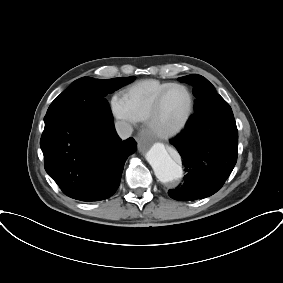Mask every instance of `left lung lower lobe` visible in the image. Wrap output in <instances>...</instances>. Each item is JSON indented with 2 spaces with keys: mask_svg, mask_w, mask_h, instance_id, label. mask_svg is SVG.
<instances>
[{
  "mask_svg": "<svg viewBox=\"0 0 283 283\" xmlns=\"http://www.w3.org/2000/svg\"><path fill=\"white\" fill-rule=\"evenodd\" d=\"M185 130L170 140L182 157L186 175L183 185L168 191L171 198L188 201L216 193L231 174L238 140L223 139L216 133L226 130L232 112L219 95L206 106H197Z\"/></svg>",
  "mask_w": 283,
  "mask_h": 283,
  "instance_id": "1",
  "label": "left lung lower lobe"
}]
</instances>
